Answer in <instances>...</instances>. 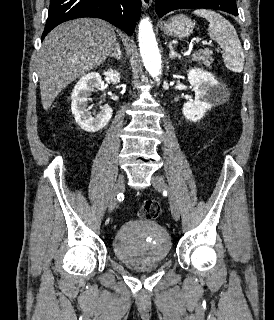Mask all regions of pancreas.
Listing matches in <instances>:
<instances>
[{
	"label": "pancreas",
	"mask_w": 274,
	"mask_h": 320,
	"mask_svg": "<svg viewBox=\"0 0 274 320\" xmlns=\"http://www.w3.org/2000/svg\"><path fill=\"white\" fill-rule=\"evenodd\" d=\"M212 54L213 52H211V50H200V52L193 54L191 60H193V62H200V64H204V66H210V64L214 62Z\"/></svg>",
	"instance_id": "pancreas-1"
}]
</instances>
